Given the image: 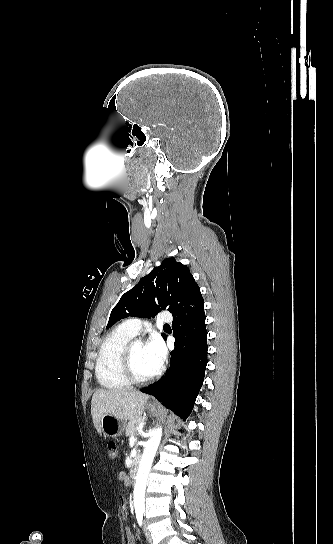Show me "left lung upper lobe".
Returning <instances> with one entry per match:
<instances>
[{
  "label": "left lung upper lobe",
  "instance_id": "left-lung-upper-lobe-1",
  "mask_svg": "<svg viewBox=\"0 0 333 544\" xmlns=\"http://www.w3.org/2000/svg\"><path fill=\"white\" fill-rule=\"evenodd\" d=\"M200 297V288L189 268L175 258H167L121 296L106 328L128 316L151 318L166 308L174 314ZM162 336L166 337L164 333Z\"/></svg>",
  "mask_w": 333,
  "mask_h": 544
}]
</instances>
